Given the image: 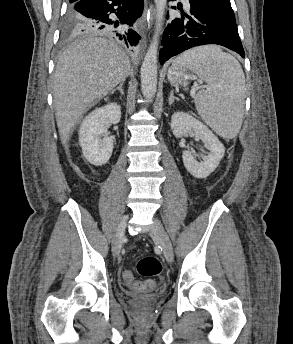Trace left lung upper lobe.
Here are the masks:
<instances>
[{
    "instance_id": "5c2ea615",
    "label": "left lung upper lobe",
    "mask_w": 293,
    "mask_h": 344,
    "mask_svg": "<svg viewBox=\"0 0 293 344\" xmlns=\"http://www.w3.org/2000/svg\"><path fill=\"white\" fill-rule=\"evenodd\" d=\"M215 6L220 12L226 15L228 18L235 21V15L232 10L230 0H205Z\"/></svg>"
}]
</instances>
